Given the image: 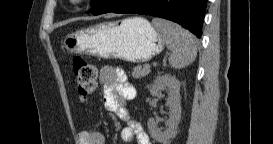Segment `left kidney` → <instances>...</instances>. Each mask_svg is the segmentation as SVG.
<instances>
[{
	"label": "left kidney",
	"instance_id": "1",
	"mask_svg": "<svg viewBox=\"0 0 273 144\" xmlns=\"http://www.w3.org/2000/svg\"><path fill=\"white\" fill-rule=\"evenodd\" d=\"M162 91L168 92L167 103L170 108L169 120L166 129L161 131L154 118L148 120V129L151 137L161 144H168L177 134L181 119L180 82L169 74L158 75L150 87L152 96L161 97Z\"/></svg>",
	"mask_w": 273,
	"mask_h": 144
}]
</instances>
